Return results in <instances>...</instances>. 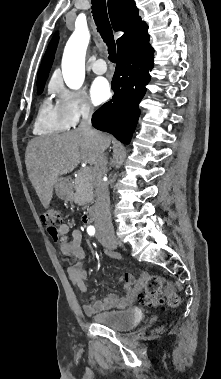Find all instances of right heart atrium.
<instances>
[{"mask_svg": "<svg viewBox=\"0 0 221 379\" xmlns=\"http://www.w3.org/2000/svg\"><path fill=\"white\" fill-rule=\"evenodd\" d=\"M52 90L57 106L71 126L94 114L95 107L84 90H70L60 84H54Z\"/></svg>", "mask_w": 221, "mask_h": 379, "instance_id": "1", "label": "right heart atrium"}]
</instances>
